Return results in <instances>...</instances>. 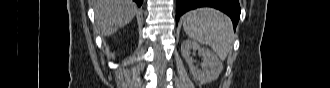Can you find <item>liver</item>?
I'll use <instances>...</instances> for the list:
<instances>
[{
  "label": "liver",
  "mask_w": 330,
  "mask_h": 88,
  "mask_svg": "<svg viewBox=\"0 0 330 88\" xmlns=\"http://www.w3.org/2000/svg\"><path fill=\"white\" fill-rule=\"evenodd\" d=\"M94 10L102 36H110L132 21L137 6L132 0H95Z\"/></svg>",
  "instance_id": "1"
}]
</instances>
